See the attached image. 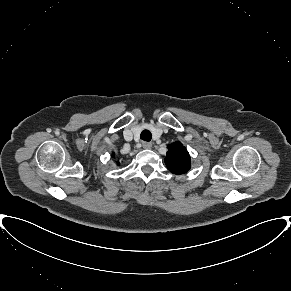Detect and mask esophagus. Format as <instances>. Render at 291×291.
Masks as SVG:
<instances>
[{"instance_id": "1", "label": "esophagus", "mask_w": 291, "mask_h": 291, "mask_svg": "<svg viewBox=\"0 0 291 291\" xmlns=\"http://www.w3.org/2000/svg\"><path fill=\"white\" fill-rule=\"evenodd\" d=\"M142 146L144 149H151L152 143L151 142H143Z\"/></svg>"}]
</instances>
